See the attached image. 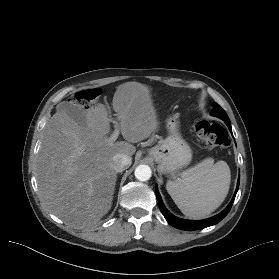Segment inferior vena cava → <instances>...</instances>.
Instances as JSON below:
<instances>
[{
  "mask_svg": "<svg viewBox=\"0 0 279 279\" xmlns=\"http://www.w3.org/2000/svg\"><path fill=\"white\" fill-rule=\"evenodd\" d=\"M132 159L130 156L118 153L112 158V167L116 172H122L131 165Z\"/></svg>",
  "mask_w": 279,
  "mask_h": 279,
  "instance_id": "inferior-vena-cava-1",
  "label": "inferior vena cava"
}]
</instances>
